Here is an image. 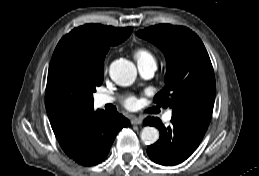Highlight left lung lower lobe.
Returning <instances> with one entry per match:
<instances>
[{
	"mask_svg": "<svg viewBox=\"0 0 259 176\" xmlns=\"http://www.w3.org/2000/svg\"><path fill=\"white\" fill-rule=\"evenodd\" d=\"M145 125L160 131L159 140L147 148L150 159L164 166H173L186 160L199 146L208 125L196 120L172 116L171 125L165 127L158 118H146Z\"/></svg>",
	"mask_w": 259,
	"mask_h": 176,
	"instance_id": "1",
	"label": "left lung lower lobe"
}]
</instances>
